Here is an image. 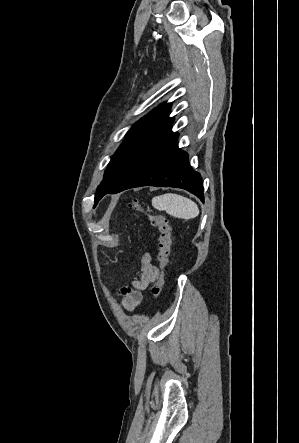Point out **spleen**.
<instances>
[{
    "label": "spleen",
    "instance_id": "obj_1",
    "mask_svg": "<svg viewBox=\"0 0 299 443\" xmlns=\"http://www.w3.org/2000/svg\"><path fill=\"white\" fill-rule=\"evenodd\" d=\"M152 206L159 211H166L167 214L189 220L199 215L197 204L191 199L173 193L156 196L152 199Z\"/></svg>",
    "mask_w": 299,
    "mask_h": 443
}]
</instances>
